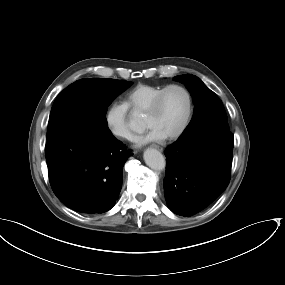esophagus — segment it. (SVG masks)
<instances>
[{
    "label": "esophagus",
    "instance_id": "1",
    "mask_svg": "<svg viewBox=\"0 0 285 285\" xmlns=\"http://www.w3.org/2000/svg\"><path fill=\"white\" fill-rule=\"evenodd\" d=\"M154 148L158 149L159 151H163V148L158 145H153Z\"/></svg>",
    "mask_w": 285,
    "mask_h": 285
}]
</instances>
